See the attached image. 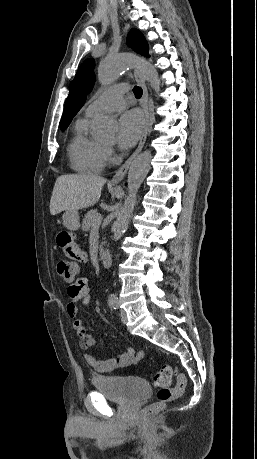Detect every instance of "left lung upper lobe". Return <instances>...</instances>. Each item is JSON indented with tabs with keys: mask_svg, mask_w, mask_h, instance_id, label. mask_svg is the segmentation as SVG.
Instances as JSON below:
<instances>
[{
	"mask_svg": "<svg viewBox=\"0 0 257 459\" xmlns=\"http://www.w3.org/2000/svg\"><path fill=\"white\" fill-rule=\"evenodd\" d=\"M127 44L135 52L149 57L148 44L139 30H130L127 36ZM94 67L95 63L93 59H86L79 67L72 81L70 92L65 103L64 113L60 121V128L62 130L66 129L71 123L73 117L83 106L87 95L91 92L95 81Z\"/></svg>",
	"mask_w": 257,
	"mask_h": 459,
	"instance_id": "obj_1",
	"label": "left lung upper lobe"
}]
</instances>
